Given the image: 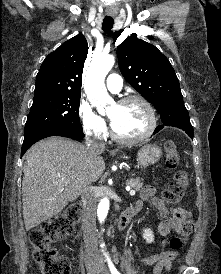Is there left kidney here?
I'll list each match as a JSON object with an SVG mask.
<instances>
[{
	"instance_id": "obj_1",
	"label": "left kidney",
	"mask_w": 221,
	"mask_h": 274,
	"mask_svg": "<svg viewBox=\"0 0 221 274\" xmlns=\"http://www.w3.org/2000/svg\"><path fill=\"white\" fill-rule=\"evenodd\" d=\"M143 239L146 240V243L154 242V235L151 229H144L143 230Z\"/></svg>"
}]
</instances>
